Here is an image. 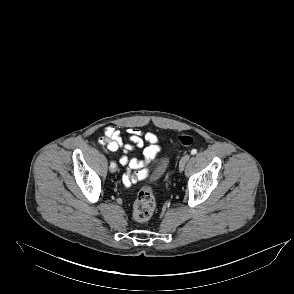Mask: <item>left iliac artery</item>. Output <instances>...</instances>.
Wrapping results in <instances>:
<instances>
[{
	"instance_id": "44dca946",
	"label": "left iliac artery",
	"mask_w": 294,
	"mask_h": 294,
	"mask_svg": "<svg viewBox=\"0 0 294 294\" xmlns=\"http://www.w3.org/2000/svg\"><path fill=\"white\" fill-rule=\"evenodd\" d=\"M196 153H197V150H196V149H192V150H191V154H192V155H195Z\"/></svg>"
}]
</instances>
